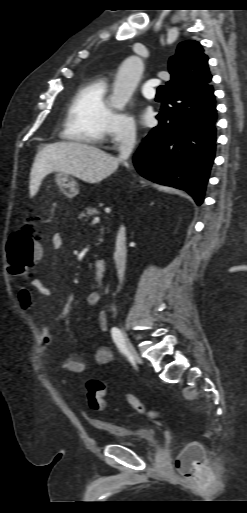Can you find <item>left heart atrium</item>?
<instances>
[{
    "mask_svg": "<svg viewBox=\"0 0 247 513\" xmlns=\"http://www.w3.org/2000/svg\"><path fill=\"white\" fill-rule=\"evenodd\" d=\"M140 120L142 123L149 125L153 122V112L150 109H145L140 114Z\"/></svg>",
    "mask_w": 247,
    "mask_h": 513,
    "instance_id": "obj_1",
    "label": "left heart atrium"
}]
</instances>
